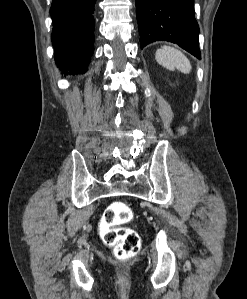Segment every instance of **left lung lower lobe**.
I'll return each mask as SVG.
<instances>
[{"label":"left lung lower lobe","mask_w":247,"mask_h":299,"mask_svg":"<svg viewBox=\"0 0 247 299\" xmlns=\"http://www.w3.org/2000/svg\"><path fill=\"white\" fill-rule=\"evenodd\" d=\"M136 13L141 49L163 40L201 58L194 0H136Z\"/></svg>","instance_id":"0a47b994"}]
</instances>
